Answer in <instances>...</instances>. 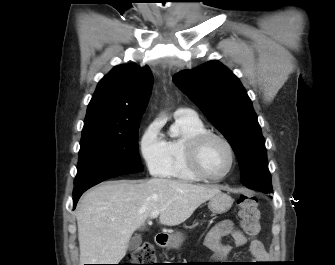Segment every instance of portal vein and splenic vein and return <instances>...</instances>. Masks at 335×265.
Returning a JSON list of instances; mask_svg holds the SVG:
<instances>
[{
	"mask_svg": "<svg viewBox=\"0 0 335 265\" xmlns=\"http://www.w3.org/2000/svg\"><path fill=\"white\" fill-rule=\"evenodd\" d=\"M160 210H155L150 214V219L156 218L160 214Z\"/></svg>",
	"mask_w": 335,
	"mask_h": 265,
	"instance_id": "18ae733b",
	"label": "portal vein and splenic vein"
}]
</instances>
